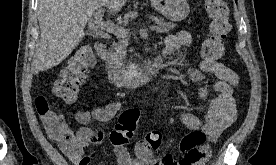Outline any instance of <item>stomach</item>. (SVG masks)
<instances>
[{"label":"stomach","mask_w":276,"mask_h":165,"mask_svg":"<svg viewBox=\"0 0 276 165\" xmlns=\"http://www.w3.org/2000/svg\"><path fill=\"white\" fill-rule=\"evenodd\" d=\"M150 2L156 11L174 22L182 21L190 12L187 0H150Z\"/></svg>","instance_id":"0dacf381"}]
</instances>
